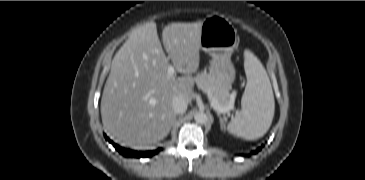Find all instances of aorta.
<instances>
[{"label": "aorta", "instance_id": "obj_1", "mask_svg": "<svg viewBox=\"0 0 365 180\" xmlns=\"http://www.w3.org/2000/svg\"><path fill=\"white\" fill-rule=\"evenodd\" d=\"M194 119L197 123H200V124H204L207 122L208 120V116L206 115V113L204 112H197L195 115H194Z\"/></svg>", "mask_w": 365, "mask_h": 180}]
</instances>
